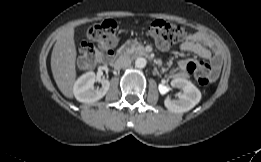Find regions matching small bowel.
I'll return each mask as SVG.
<instances>
[{
    "label": "small bowel",
    "mask_w": 261,
    "mask_h": 162,
    "mask_svg": "<svg viewBox=\"0 0 261 162\" xmlns=\"http://www.w3.org/2000/svg\"><path fill=\"white\" fill-rule=\"evenodd\" d=\"M204 36L199 33H193L187 36V38L181 43L180 49L183 52H191L199 57L208 60L211 63L213 72H217L220 66V59L209 48H207L202 41ZM192 60H181L179 67L182 70H189L192 64Z\"/></svg>",
    "instance_id": "obj_1"
}]
</instances>
